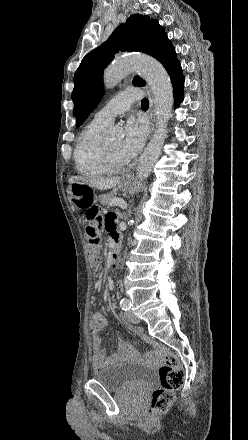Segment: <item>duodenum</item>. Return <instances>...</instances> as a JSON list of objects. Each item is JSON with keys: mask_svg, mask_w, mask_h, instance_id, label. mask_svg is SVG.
<instances>
[{"mask_svg": "<svg viewBox=\"0 0 248 440\" xmlns=\"http://www.w3.org/2000/svg\"><path fill=\"white\" fill-rule=\"evenodd\" d=\"M120 251V240L118 235H113L111 240L110 260L114 264L118 259Z\"/></svg>", "mask_w": 248, "mask_h": 440, "instance_id": "410a0bca", "label": "duodenum"}]
</instances>
